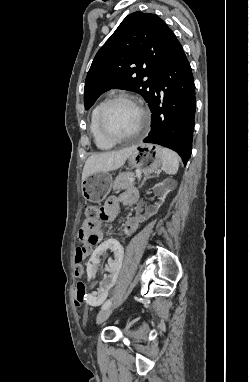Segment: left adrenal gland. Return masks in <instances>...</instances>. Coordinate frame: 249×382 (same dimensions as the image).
<instances>
[{"mask_svg":"<svg viewBox=\"0 0 249 382\" xmlns=\"http://www.w3.org/2000/svg\"><path fill=\"white\" fill-rule=\"evenodd\" d=\"M147 180V178H144L141 185H140V188L144 185L145 181Z\"/></svg>","mask_w":249,"mask_h":382,"instance_id":"left-adrenal-gland-1","label":"left adrenal gland"}]
</instances>
